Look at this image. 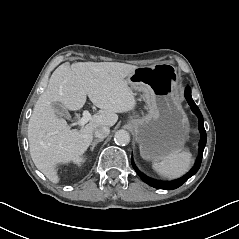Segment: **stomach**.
I'll use <instances>...</instances> for the list:
<instances>
[{"instance_id": "stomach-1", "label": "stomach", "mask_w": 239, "mask_h": 239, "mask_svg": "<svg viewBox=\"0 0 239 239\" xmlns=\"http://www.w3.org/2000/svg\"><path fill=\"white\" fill-rule=\"evenodd\" d=\"M177 80L175 74L148 66L136 69L128 78L132 89L144 93L150 108L149 114L128 122L146 161L159 162L179 153L186 142L189 124L180 106Z\"/></svg>"}]
</instances>
